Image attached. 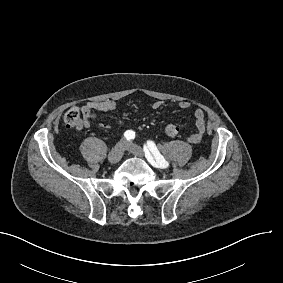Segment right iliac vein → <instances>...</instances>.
<instances>
[{
  "label": "right iliac vein",
  "instance_id": "obj_1",
  "mask_svg": "<svg viewBox=\"0 0 283 283\" xmlns=\"http://www.w3.org/2000/svg\"><path fill=\"white\" fill-rule=\"evenodd\" d=\"M124 145L123 143H118L114 146V148L108 154V161L110 164H116L122 158L124 152Z\"/></svg>",
  "mask_w": 283,
  "mask_h": 283
}]
</instances>
